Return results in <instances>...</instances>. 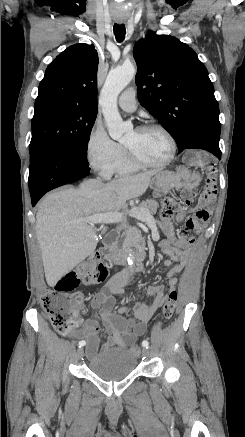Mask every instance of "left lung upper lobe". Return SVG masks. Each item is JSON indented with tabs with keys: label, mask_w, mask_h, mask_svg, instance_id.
Segmentation results:
<instances>
[{
	"label": "left lung upper lobe",
	"mask_w": 245,
	"mask_h": 437,
	"mask_svg": "<svg viewBox=\"0 0 245 437\" xmlns=\"http://www.w3.org/2000/svg\"><path fill=\"white\" fill-rule=\"evenodd\" d=\"M133 56L138 100L175 139L179 152L198 136L220 138L213 84L193 49L150 31L135 44Z\"/></svg>",
	"instance_id": "left-lung-upper-lobe-1"
}]
</instances>
